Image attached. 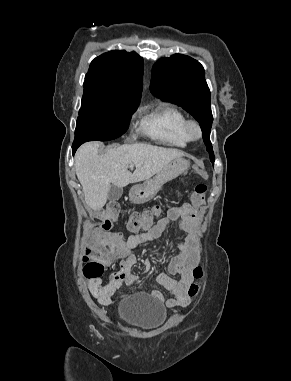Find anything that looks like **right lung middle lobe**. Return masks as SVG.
<instances>
[{"mask_svg":"<svg viewBox=\"0 0 291 381\" xmlns=\"http://www.w3.org/2000/svg\"><path fill=\"white\" fill-rule=\"evenodd\" d=\"M139 103L113 99L106 95L84 93L74 144L107 141L121 136L128 128L131 114Z\"/></svg>","mask_w":291,"mask_h":381,"instance_id":"dd1d6c3e","label":"right lung middle lobe"}]
</instances>
